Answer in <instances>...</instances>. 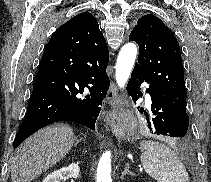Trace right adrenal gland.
Wrapping results in <instances>:
<instances>
[{
	"mask_svg": "<svg viewBox=\"0 0 211 182\" xmlns=\"http://www.w3.org/2000/svg\"><path fill=\"white\" fill-rule=\"evenodd\" d=\"M82 139H77L74 146L76 147L78 145V143L81 141Z\"/></svg>",
	"mask_w": 211,
	"mask_h": 182,
	"instance_id": "2a0ac1e0",
	"label": "right adrenal gland"
}]
</instances>
